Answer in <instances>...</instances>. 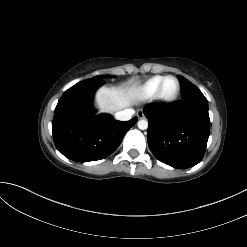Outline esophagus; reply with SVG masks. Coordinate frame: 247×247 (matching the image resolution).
<instances>
[{
    "mask_svg": "<svg viewBox=\"0 0 247 247\" xmlns=\"http://www.w3.org/2000/svg\"><path fill=\"white\" fill-rule=\"evenodd\" d=\"M137 117H138L139 119L145 118L144 112H143V111H138V112H137Z\"/></svg>",
    "mask_w": 247,
    "mask_h": 247,
    "instance_id": "esophagus-1",
    "label": "esophagus"
}]
</instances>
